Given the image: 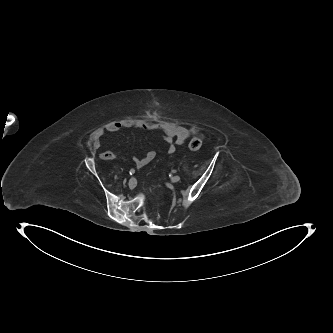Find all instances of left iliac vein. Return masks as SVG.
<instances>
[{
    "mask_svg": "<svg viewBox=\"0 0 333 333\" xmlns=\"http://www.w3.org/2000/svg\"><path fill=\"white\" fill-rule=\"evenodd\" d=\"M180 180V176L179 175H175V176H173L172 178H171V182L172 183H176V182H178Z\"/></svg>",
    "mask_w": 333,
    "mask_h": 333,
    "instance_id": "1",
    "label": "left iliac vein"
}]
</instances>
